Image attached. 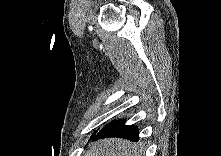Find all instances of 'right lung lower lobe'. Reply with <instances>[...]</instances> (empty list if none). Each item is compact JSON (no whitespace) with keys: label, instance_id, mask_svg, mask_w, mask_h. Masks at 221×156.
<instances>
[{"label":"right lung lower lobe","instance_id":"98d812e1","mask_svg":"<svg viewBox=\"0 0 221 156\" xmlns=\"http://www.w3.org/2000/svg\"><path fill=\"white\" fill-rule=\"evenodd\" d=\"M105 137H120L137 142L139 139L138 129L134 125H125L124 120H115L105 126L92 139L97 140Z\"/></svg>","mask_w":221,"mask_h":156}]
</instances>
